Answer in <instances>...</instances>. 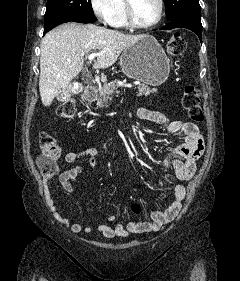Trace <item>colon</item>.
Returning a JSON list of instances; mask_svg holds the SVG:
<instances>
[{
	"instance_id": "1",
	"label": "colon",
	"mask_w": 240,
	"mask_h": 281,
	"mask_svg": "<svg viewBox=\"0 0 240 281\" xmlns=\"http://www.w3.org/2000/svg\"><path fill=\"white\" fill-rule=\"evenodd\" d=\"M186 44L183 37L176 33L167 43V50L171 56H179L185 50ZM181 104L183 109L188 113L190 119L200 123L204 120L203 109L200 105V94L194 86H187L184 89ZM76 106L73 100L63 101L56 109V117L59 119L70 120L75 116ZM39 147L41 155L38 158V166L44 175L53 174L57 169V160L60 156V147L56 138L49 132L42 131L39 133ZM132 211L136 214L141 213L142 205L133 203Z\"/></svg>"
}]
</instances>
